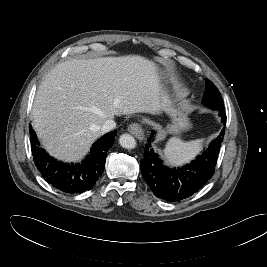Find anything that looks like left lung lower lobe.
Here are the masks:
<instances>
[{
  "instance_id": "obj_1",
  "label": "left lung lower lobe",
  "mask_w": 267,
  "mask_h": 267,
  "mask_svg": "<svg viewBox=\"0 0 267 267\" xmlns=\"http://www.w3.org/2000/svg\"><path fill=\"white\" fill-rule=\"evenodd\" d=\"M218 110L222 122L225 124L224 108ZM224 129L196 160L177 169L166 167L159 155L154 152L151 142L154 141L155 132L152 131L145 147L144 158L141 161V172L154 195L166 201H180L192 196L205 185L214 174L225 133Z\"/></svg>"
}]
</instances>
